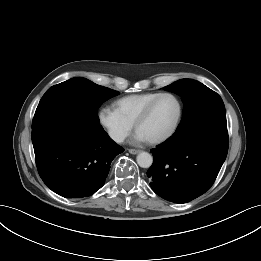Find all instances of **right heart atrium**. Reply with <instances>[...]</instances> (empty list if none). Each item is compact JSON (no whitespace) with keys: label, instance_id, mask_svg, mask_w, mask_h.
Masks as SVG:
<instances>
[{"label":"right heart atrium","instance_id":"d8ad5b80","mask_svg":"<svg viewBox=\"0 0 261 261\" xmlns=\"http://www.w3.org/2000/svg\"><path fill=\"white\" fill-rule=\"evenodd\" d=\"M97 118L108 136L116 143L123 142L133 128L131 122L127 121L115 109L110 107H102L97 113Z\"/></svg>","mask_w":261,"mask_h":261}]
</instances>
